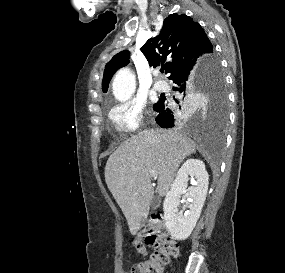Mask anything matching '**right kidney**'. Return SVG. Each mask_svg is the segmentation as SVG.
Listing matches in <instances>:
<instances>
[{"label": "right kidney", "instance_id": "obj_1", "mask_svg": "<svg viewBox=\"0 0 285 273\" xmlns=\"http://www.w3.org/2000/svg\"><path fill=\"white\" fill-rule=\"evenodd\" d=\"M190 177L194 186L188 188ZM208 177L204 163L198 159H188L177 172L163 203L166 228L176 240L187 239L196 226L208 191ZM182 195L188 202L179 210Z\"/></svg>", "mask_w": 285, "mask_h": 273}]
</instances>
